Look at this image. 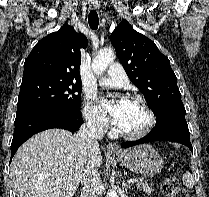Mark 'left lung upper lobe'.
<instances>
[{
  "mask_svg": "<svg viewBox=\"0 0 209 197\" xmlns=\"http://www.w3.org/2000/svg\"><path fill=\"white\" fill-rule=\"evenodd\" d=\"M111 42L129 79L146 96L156 117L185 109L170 61L153 41L122 20L111 34Z\"/></svg>",
  "mask_w": 209,
  "mask_h": 197,
  "instance_id": "left-lung-upper-lobe-1",
  "label": "left lung upper lobe"
}]
</instances>
